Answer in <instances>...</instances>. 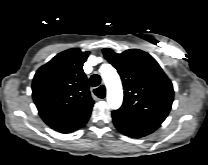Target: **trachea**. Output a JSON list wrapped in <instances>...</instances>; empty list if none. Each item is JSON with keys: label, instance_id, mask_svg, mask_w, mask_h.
Returning <instances> with one entry per match:
<instances>
[{"label": "trachea", "instance_id": "3493384b", "mask_svg": "<svg viewBox=\"0 0 208 165\" xmlns=\"http://www.w3.org/2000/svg\"><path fill=\"white\" fill-rule=\"evenodd\" d=\"M100 82H101V78H100L99 75L94 74V75H92V76L90 77V85H91L92 87L98 86V85L100 84ZM94 93H95L99 98H104V96H105V90H104V88H103L102 86L99 87V88H97V89H94Z\"/></svg>", "mask_w": 208, "mask_h": 165}]
</instances>
